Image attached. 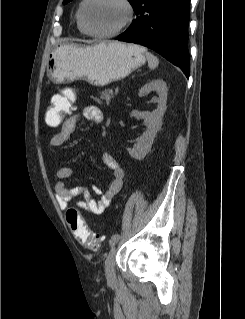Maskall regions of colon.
<instances>
[{
	"label": "colon",
	"mask_w": 245,
	"mask_h": 319,
	"mask_svg": "<svg viewBox=\"0 0 245 319\" xmlns=\"http://www.w3.org/2000/svg\"><path fill=\"white\" fill-rule=\"evenodd\" d=\"M72 100V94L69 91L55 95L52 104L45 115L47 124L54 127L61 125L64 117L70 111ZM66 220L71 232L80 244L93 251L99 249V236L93 234L88 229L84 219L76 208L70 207L67 210Z\"/></svg>",
	"instance_id": "colon-1"
}]
</instances>
